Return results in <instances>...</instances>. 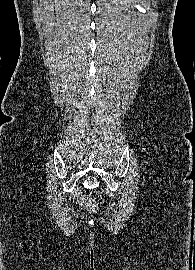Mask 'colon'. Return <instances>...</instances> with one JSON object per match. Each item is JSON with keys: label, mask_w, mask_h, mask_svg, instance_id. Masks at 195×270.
<instances>
[{"label": "colon", "mask_w": 195, "mask_h": 270, "mask_svg": "<svg viewBox=\"0 0 195 270\" xmlns=\"http://www.w3.org/2000/svg\"><path fill=\"white\" fill-rule=\"evenodd\" d=\"M80 204L90 212H95L97 210V203L94 200L81 198Z\"/></svg>", "instance_id": "obj_1"}]
</instances>
